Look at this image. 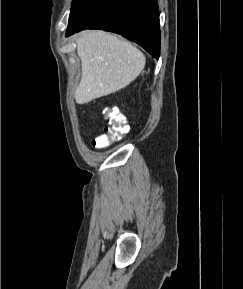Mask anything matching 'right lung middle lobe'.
<instances>
[{
  "mask_svg": "<svg viewBox=\"0 0 243 289\" xmlns=\"http://www.w3.org/2000/svg\"><path fill=\"white\" fill-rule=\"evenodd\" d=\"M81 0H74L72 3L71 13L77 8ZM70 13V14H71Z\"/></svg>",
  "mask_w": 243,
  "mask_h": 289,
  "instance_id": "dd1d6c3e",
  "label": "right lung middle lobe"
}]
</instances>
